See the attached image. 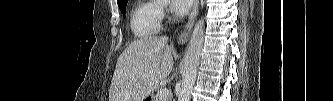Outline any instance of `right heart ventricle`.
Here are the masks:
<instances>
[{
    "label": "right heart ventricle",
    "instance_id": "e07e8e85",
    "mask_svg": "<svg viewBox=\"0 0 333 101\" xmlns=\"http://www.w3.org/2000/svg\"><path fill=\"white\" fill-rule=\"evenodd\" d=\"M130 27L137 38L148 39L161 28V8L158 1H140L131 14Z\"/></svg>",
    "mask_w": 333,
    "mask_h": 101
}]
</instances>
